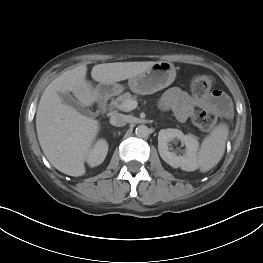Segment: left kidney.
I'll return each mask as SVG.
<instances>
[{
	"instance_id": "left-kidney-1",
	"label": "left kidney",
	"mask_w": 263,
	"mask_h": 263,
	"mask_svg": "<svg viewBox=\"0 0 263 263\" xmlns=\"http://www.w3.org/2000/svg\"><path fill=\"white\" fill-rule=\"evenodd\" d=\"M178 139L186 146L185 153L177 155L170 151L169 143ZM199 148V141L193 135H184L178 129H162L158 134V150L161 158L174 168L180 167L184 171H194L198 167L197 151Z\"/></svg>"
}]
</instances>
